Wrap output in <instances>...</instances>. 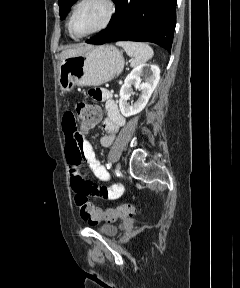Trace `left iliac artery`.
<instances>
[{
  "instance_id": "obj_1",
  "label": "left iliac artery",
  "mask_w": 240,
  "mask_h": 288,
  "mask_svg": "<svg viewBox=\"0 0 240 288\" xmlns=\"http://www.w3.org/2000/svg\"><path fill=\"white\" fill-rule=\"evenodd\" d=\"M111 166H112V163H111V162H109V163L107 164V169H110V168H111Z\"/></svg>"
}]
</instances>
